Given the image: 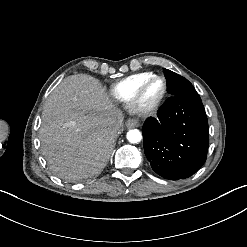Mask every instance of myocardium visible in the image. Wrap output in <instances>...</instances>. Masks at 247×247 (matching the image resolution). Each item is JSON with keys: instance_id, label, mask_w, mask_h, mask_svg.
<instances>
[{"instance_id": "obj_1", "label": "myocardium", "mask_w": 247, "mask_h": 247, "mask_svg": "<svg viewBox=\"0 0 247 247\" xmlns=\"http://www.w3.org/2000/svg\"><path fill=\"white\" fill-rule=\"evenodd\" d=\"M154 80H160L164 83V90L161 96L152 104L145 105L142 102V94L145 87ZM169 91V86L166 78L161 75H152L144 79L139 85L135 88L134 93L127 104V109L130 113L137 115L139 117H146L153 114L158 108L162 105L166 99Z\"/></svg>"}]
</instances>
